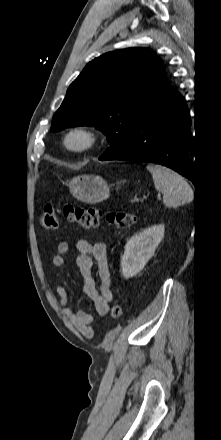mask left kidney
I'll list each match as a JSON object with an SVG mask.
<instances>
[{
	"label": "left kidney",
	"instance_id": "obj_1",
	"mask_svg": "<svg viewBox=\"0 0 221 440\" xmlns=\"http://www.w3.org/2000/svg\"><path fill=\"white\" fill-rule=\"evenodd\" d=\"M164 225H154L131 237L121 259L123 276L128 279L139 273L154 255L164 237Z\"/></svg>",
	"mask_w": 221,
	"mask_h": 440
}]
</instances>
